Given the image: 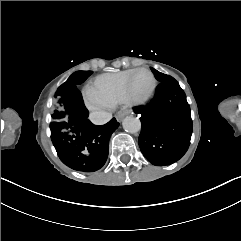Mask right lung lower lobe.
Wrapping results in <instances>:
<instances>
[{"instance_id": "right-lung-lower-lobe-1", "label": "right lung lower lobe", "mask_w": 241, "mask_h": 241, "mask_svg": "<svg viewBox=\"0 0 241 241\" xmlns=\"http://www.w3.org/2000/svg\"><path fill=\"white\" fill-rule=\"evenodd\" d=\"M70 119L50 124L51 139L61 161L83 171L99 170L108 157V144L119 123L112 118L104 125L88 120L89 112L77 87L67 89Z\"/></svg>"}]
</instances>
